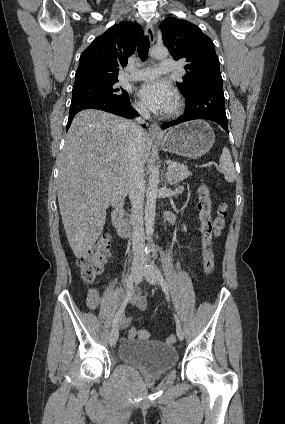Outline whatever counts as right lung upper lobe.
Returning a JSON list of instances; mask_svg holds the SVG:
<instances>
[{"label":"right lung upper lobe","mask_w":285,"mask_h":424,"mask_svg":"<svg viewBox=\"0 0 285 424\" xmlns=\"http://www.w3.org/2000/svg\"><path fill=\"white\" fill-rule=\"evenodd\" d=\"M142 33L141 26L133 22H121L110 27L81 54L75 84L118 80L119 68L126 65Z\"/></svg>","instance_id":"right-lung-upper-lobe-1"}]
</instances>
